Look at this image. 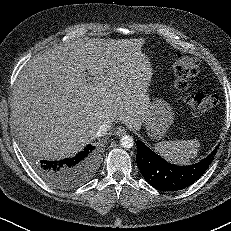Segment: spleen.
<instances>
[{
    "mask_svg": "<svg viewBox=\"0 0 231 231\" xmlns=\"http://www.w3.org/2000/svg\"><path fill=\"white\" fill-rule=\"evenodd\" d=\"M199 147L200 142L197 139L163 141L155 144V150L159 155L179 165H188L191 159L196 158Z\"/></svg>",
    "mask_w": 231,
    "mask_h": 231,
    "instance_id": "1",
    "label": "spleen"
}]
</instances>
